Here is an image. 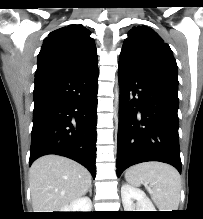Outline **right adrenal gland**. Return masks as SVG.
Returning <instances> with one entry per match:
<instances>
[{"mask_svg": "<svg viewBox=\"0 0 203 219\" xmlns=\"http://www.w3.org/2000/svg\"><path fill=\"white\" fill-rule=\"evenodd\" d=\"M87 192H89L90 196H92V185H90V187H89Z\"/></svg>", "mask_w": 203, "mask_h": 219, "instance_id": "2a0ac1e0", "label": "right adrenal gland"}]
</instances>
